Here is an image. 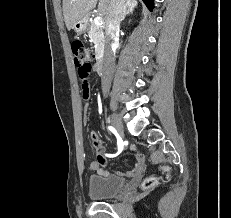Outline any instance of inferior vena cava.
Returning a JSON list of instances; mask_svg holds the SVG:
<instances>
[{
	"label": "inferior vena cava",
	"mask_w": 231,
	"mask_h": 218,
	"mask_svg": "<svg viewBox=\"0 0 231 218\" xmlns=\"http://www.w3.org/2000/svg\"><path fill=\"white\" fill-rule=\"evenodd\" d=\"M126 0H111L109 13L106 17V48L102 66V89L109 91L114 69L115 53L113 48L119 39L120 22L125 13Z\"/></svg>",
	"instance_id": "1"
}]
</instances>
